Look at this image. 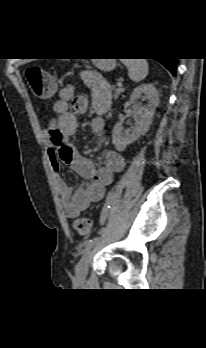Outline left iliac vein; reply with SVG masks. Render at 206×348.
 Here are the masks:
<instances>
[{"label": "left iliac vein", "mask_w": 206, "mask_h": 348, "mask_svg": "<svg viewBox=\"0 0 206 348\" xmlns=\"http://www.w3.org/2000/svg\"><path fill=\"white\" fill-rule=\"evenodd\" d=\"M92 255H93L92 250L88 249L86 250L82 258L78 262L75 269V277L77 281L82 282L86 279L88 266L92 258Z\"/></svg>", "instance_id": "4c4485c4"}]
</instances>
